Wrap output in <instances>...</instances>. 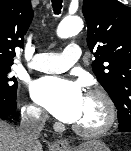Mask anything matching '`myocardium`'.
<instances>
[{"mask_svg":"<svg viewBox=\"0 0 131 151\" xmlns=\"http://www.w3.org/2000/svg\"><path fill=\"white\" fill-rule=\"evenodd\" d=\"M86 96L100 100L104 106L105 117L103 122L95 127H83L80 125H72V129L77 134L84 137H94L108 132L116 121L117 111L116 106L110 95L102 89H90Z\"/></svg>","mask_w":131,"mask_h":151,"instance_id":"1","label":"myocardium"}]
</instances>
